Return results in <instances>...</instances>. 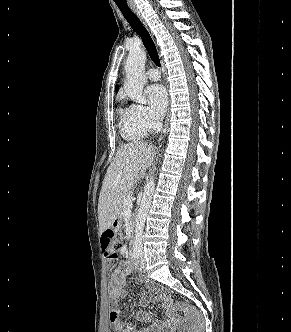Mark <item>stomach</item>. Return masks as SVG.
Segmentation results:
<instances>
[{
    "instance_id": "1",
    "label": "stomach",
    "mask_w": 291,
    "mask_h": 332,
    "mask_svg": "<svg viewBox=\"0 0 291 332\" xmlns=\"http://www.w3.org/2000/svg\"><path fill=\"white\" fill-rule=\"evenodd\" d=\"M121 226V216H119L114 222L112 223V227L118 230Z\"/></svg>"
}]
</instances>
